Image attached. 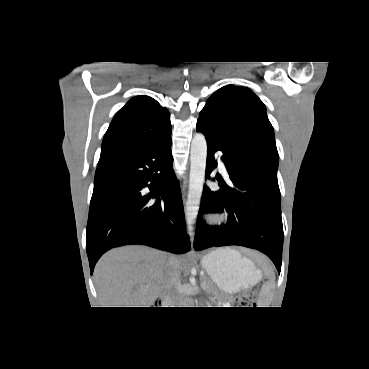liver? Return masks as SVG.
Returning a JSON list of instances; mask_svg holds the SVG:
<instances>
[{
    "instance_id": "1",
    "label": "liver",
    "mask_w": 369,
    "mask_h": 369,
    "mask_svg": "<svg viewBox=\"0 0 369 369\" xmlns=\"http://www.w3.org/2000/svg\"><path fill=\"white\" fill-rule=\"evenodd\" d=\"M169 260L180 275L183 260L159 250L125 246L104 254L94 270L102 307H151L163 291Z\"/></svg>"
}]
</instances>
